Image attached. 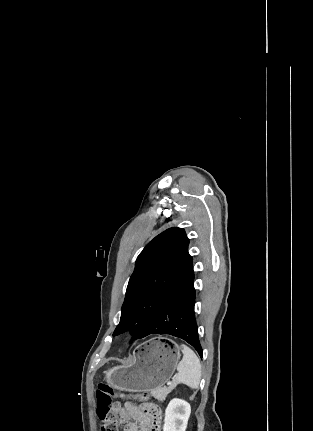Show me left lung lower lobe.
I'll list each match as a JSON object with an SVG mask.
<instances>
[{
	"label": "left lung lower lobe",
	"mask_w": 313,
	"mask_h": 431,
	"mask_svg": "<svg viewBox=\"0 0 313 431\" xmlns=\"http://www.w3.org/2000/svg\"><path fill=\"white\" fill-rule=\"evenodd\" d=\"M195 289L193 280L171 298L157 313L137 339L151 334H169L192 345L202 357L194 314Z\"/></svg>",
	"instance_id": "obj_1"
}]
</instances>
